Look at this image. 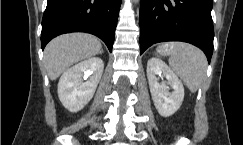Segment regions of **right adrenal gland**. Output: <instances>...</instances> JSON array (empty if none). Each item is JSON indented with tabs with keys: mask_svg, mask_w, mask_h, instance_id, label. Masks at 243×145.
<instances>
[{
	"mask_svg": "<svg viewBox=\"0 0 243 145\" xmlns=\"http://www.w3.org/2000/svg\"><path fill=\"white\" fill-rule=\"evenodd\" d=\"M102 53H103V50L100 51V54H101V55H102Z\"/></svg>",
	"mask_w": 243,
	"mask_h": 145,
	"instance_id": "1",
	"label": "right adrenal gland"
}]
</instances>
